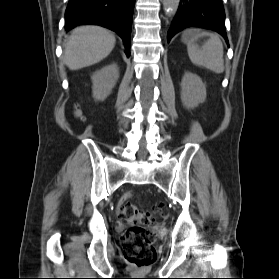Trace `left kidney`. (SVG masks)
Here are the masks:
<instances>
[{
  "label": "left kidney",
  "mask_w": 279,
  "mask_h": 279,
  "mask_svg": "<svg viewBox=\"0 0 279 279\" xmlns=\"http://www.w3.org/2000/svg\"><path fill=\"white\" fill-rule=\"evenodd\" d=\"M206 99V87L196 74L185 72L181 82V100L187 109L197 107Z\"/></svg>",
  "instance_id": "1"
}]
</instances>
